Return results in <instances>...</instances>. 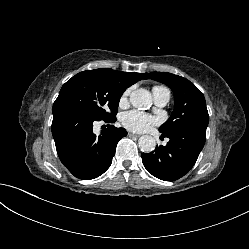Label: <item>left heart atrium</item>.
<instances>
[{"mask_svg": "<svg viewBox=\"0 0 249 249\" xmlns=\"http://www.w3.org/2000/svg\"><path fill=\"white\" fill-rule=\"evenodd\" d=\"M156 122L154 117L138 110L128 111L122 116L123 126L136 132L146 131Z\"/></svg>", "mask_w": 249, "mask_h": 249, "instance_id": "left-heart-atrium-1", "label": "left heart atrium"}]
</instances>
